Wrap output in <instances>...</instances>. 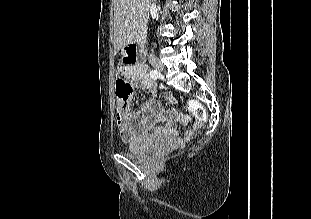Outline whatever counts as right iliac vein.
I'll list each match as a JSON object with an SVG mask.
<instances>
[{
  "label": "right iliac vein",
  "mask_w": 311,
  "mask_h": 219,
  "mask_svg": "<svg viewBox=\"0 0 311 219\" xmlns=\"http://www.w3.org/2000/svg\"><path fill=\"white\" fill-rule=\"evenodd\" d=\"M149 61L151 63V65L159 72L161 73L164 70V66L163 64L155 57V56H151L149 58Z\"/></svg>",
  "instance_id": "1"
}]
</instances>
